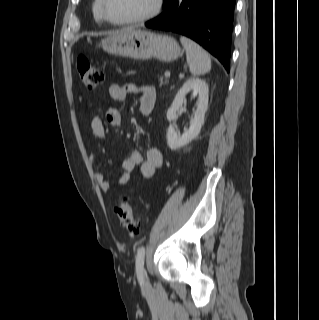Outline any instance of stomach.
<instances>
[{
	"label": "stomach",
	"instance_id": "0dacf381",
	"mask_svg": "<svg viewBox=\"0 0 319 320\" xmlns=\"http://www.w3.org/2000/svg\"><path fill=\"white\" fill-rule=\"evenodd\" d=\"M102 49L112 55L136 60L156 58L162 62L178 59L181 49L169 36L141 29H127L101 40Z\"/></svg>",
	"mask_w": 319,
	"mask_h": 320
}]
</instances>
